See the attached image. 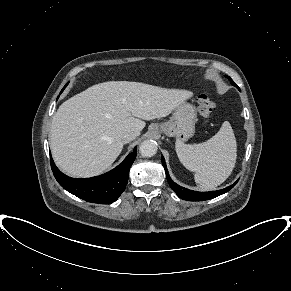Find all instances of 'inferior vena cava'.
<instances>
[{"mask_svg": "<svg viewBox=\"0 0 291 291\" xmlns=\"http://www.w3.org/2000/svg\"><path fill=\"white\" fill-rule=\"evenodd\" d=\"M137 136H139V132L128 130L122 134L121 139L123 143H128L134 140Z\"/></svg>", "mask_w": 291, "mask_h": 291, "instance_id": "inferior-vena-cava-1", "label": "inferior vena cava"}]
</instances>
